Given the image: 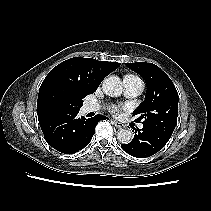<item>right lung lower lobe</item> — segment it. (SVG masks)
I'll return each mask as SVG.
<instances>
[{"mask_svg":"<svg viewBox=\"0 0 211 211\" xmlns=\"http://www.w3.org/2000/svg\"><path fill=\"white\" fill-rule=\"evenodd\" d=\"M79 111L60 110L39 119L46 142L54 149L72 154L83 149L92 139L96 124L105 116L79 118Z\"/></svg>","mask_w":211,"mask_h":211,"instance_id":"obj_1","label":"right lung lower lobe"}]
</instances>
